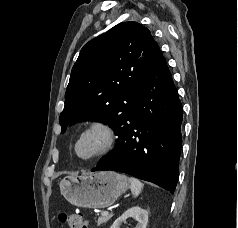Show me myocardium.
<instances>
[{
    "label": "myocardium",
    "instance_id": "f54148a6",
    "mask_svg": "<svg viewBox=\"0 0 238 228\" xmlns=\"http://www.w3.org/2000/svg\"><path fill=\"white\" fill-rule=\"evenodd\" d=\"M91 135L99 137V145L91 154L82 156L78 152V147L86 137ZM115 142L116 134L113 127L105 121L93 120L85 125L78 133L73 144V152L78 159L82 161H90L108 153L115 145Z\"/></svg>",
    "mask_w": 238,
    "mask_h": 228
}]
</instances>
